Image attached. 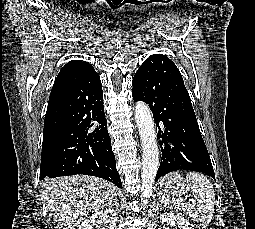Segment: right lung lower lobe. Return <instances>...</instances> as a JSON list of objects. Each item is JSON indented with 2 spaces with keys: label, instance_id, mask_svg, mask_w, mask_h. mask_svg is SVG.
<instances>
[{
  "label": "right lung lower lobe",
  "instance_id": "1",
  "mask_svg": "<svg viewBox=\"0 0 255 229\" xmlns=\"http://www.w3.org/2000/svg\"><path fill=\"white\" fill-rule=\"evenodd\" d=\"M60 133L48 160L41 163L40 179L84 174L106 179L122 188L103 108L100 77L89 67L65 93L49 101L44 130Z\"/></svg>",
  "mask_w": 255,
  "mask_h": 229
}]
</instances>
